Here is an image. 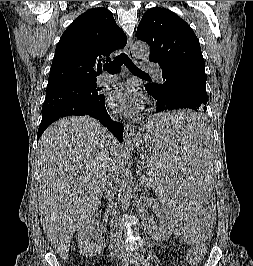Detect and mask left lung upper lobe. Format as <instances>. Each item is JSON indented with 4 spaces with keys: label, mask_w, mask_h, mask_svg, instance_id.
Returning a JSON list of instances; mask_svg holds the SVG:
<instances>
[{
    "label": "left lung upper lobe",
    "mask_w": 253,
    "mask_h": 266,
    "mask_svg": "<svg viewBox=\"0 0 253 266\" xmlns=\"http://www.w3.org/2000/svg\"><path fill=\"white\" fill-rule=\"evenodd\" d=\"M137 39L150 46L149 60L158 63L162 72L189 69L206 77L199 40L175 13L160 7L146 11L137 28Z\"/></svg>",
    "instance_id": "obj_1"
}]
</instances>
